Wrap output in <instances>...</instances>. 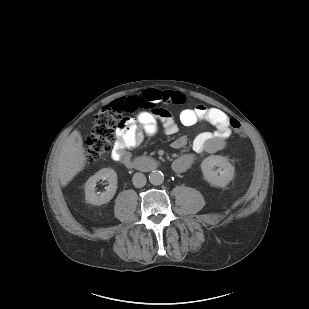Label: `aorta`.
Returning <instances> with one entry per match:
<instances>
[{
	"label": "aorta",
	"instance_id": "aorta-1",
	"mask_svg": "<svg viewBox=\"0 0 309 309\" xmlns=\"http://www.w3.org/2000/svg\"><path fill=\"white\" fill-rule=\"evenodd\" d=\"M149 181L152 185H161L164 181V175L161 171H152L149 175Z\"/></svg>",
	"mask_w": 309,
	"mask_h": 309
}]
</instances>
